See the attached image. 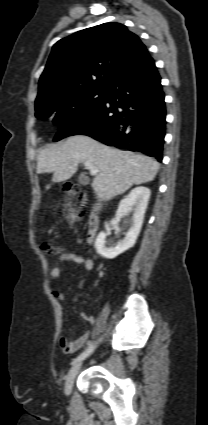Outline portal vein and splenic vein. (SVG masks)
Returning a JSON list of instances; mask_svg holds the SVG:
<instances>
[{
    "mask_svg": "<svg viewBox=\"0 0 208 425\" xmlns=\"http://www.w3.org/2000/svg\"><path fill=\"white\" fill-rule=\"evenodd\" d=\"M84 165H85L86 169H88L90 171V174L92 176L96 175L99 172V170L89 162H85Z\"/></svg>",
    "mask_w": 208,
    "mask_h": 425,
    "instance_id": "1",
    "label": "portal vein and splenic vein"
}]
</instances>
